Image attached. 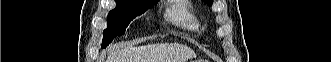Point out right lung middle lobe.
<instances>
[{
  "instance_id": "obj_1",
  "label": "right lung middle lobe",
  "mask_w": 331,
  "mask_h": 62,
  "mask_svg": "<svg viewBox=\"0 0 331 62\" xmlns=\"http://www.w3.org/2000/svg\"><path fill=\"white\" fill-rule=\"evenodd\" d=\"M116 8L107 17L108 27L103 31L102 46L106 47L112 40L125 33L129 23L151 8L156 2L141 0H115Z\"/></svg>"
}]
</instances>
